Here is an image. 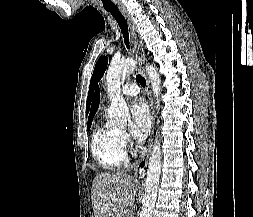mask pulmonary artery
<instances>
[{"label": "pulmonary artery", "mask_w": 253, "mask_h": 217, "mask_svg": "<svg viewBox=\"0 0 253 217\" xmlns=\"http://www.w3.org/2000/svg\"><path fill=\"white\" fill-rule=\"evenodd\" d=\"M121 92L125 96H136L139 94V87L136 83L129 82L123 85Z\"/></svg>", "instance_id": "e3ab8cb5"}]
</instances>
